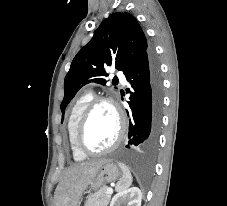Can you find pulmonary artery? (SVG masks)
Here are the masks:
<instances>
[{"label": "pulmonary artery", "instance_id": "1", "mask_svg": "<svg viewBox=\"0 0 227 206\" xmlns=\"http://www.w3.org/2000/svg\"><path fill=\"white\" fill-rule=\"evenodd\" d=\"M116 75L122 80L125 81L124 75L121 72H117Z\"/></svg>", "mask_w": 227, "mask_h": 206}]
</instances>
